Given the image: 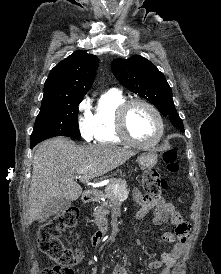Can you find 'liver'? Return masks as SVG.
I'll list each match as a JSON object with an SVG mask.
<instances>
[{
    "label": "liver",
    "instance_id": "liver-1",
    "mask_svg": "<svg viewBox=\"0 0 221 274\" xmlns=\"http://www.w3.org/2000/svg\"><path fill=\"white\" fill-rule=\"evenodd\" d=\"M136 153L102 144L77 146L63 137L42 142L32 160L28 224L41 217L47 203L61 198L73 201L80 197L82 188L75 182L78 171L84 170L80 181L87 183L123 165Z\"/></svg>",
    "mask_w": 221,
    "mask_h": 274
}]
</instances>
